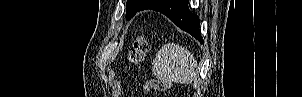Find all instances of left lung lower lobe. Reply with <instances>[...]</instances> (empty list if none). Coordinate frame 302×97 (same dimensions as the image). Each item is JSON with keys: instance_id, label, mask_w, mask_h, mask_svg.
Returning a JSON list of instances; mask_svg holds the SVG:
<instances>
[{"instance_id": "1", "label": "left lung lower lobe", "mask_w": 302, "mask_h": 97, "mask_svg": "<svg viewBox=\"0 0 302 97\" xmlns=\"http://www.w3.org/2000/svg\"><path fill=\"white\" fill-rule=\"evenodd\" d=\"M188 3L189 0H148L147 6L141 10L152 9L165 14L179 28L203 43L199 31L198 16L189 10Z\"/></svg>"}]
</instances>
